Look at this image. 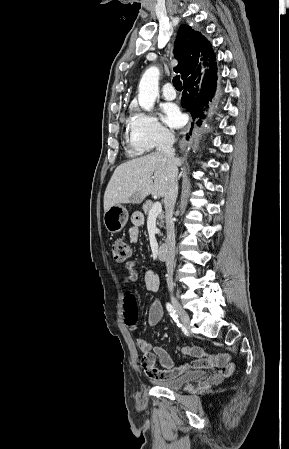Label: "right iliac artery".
Listing matches in <instances>:
<instances>
[{"mask_svg": "<svg viewBox=\"0 0 289 449\" xmlns=\"http://www.w3.org/2000/svg\"><path fill=\"white\" fill-rule=\"evenodd\" d=\"M166 308H167V311L169 312L170 316L177 323V325L179 327H181L182 325L179 322L178 315L176 314V311H175L174 307L170 303H166Z\"/></svg>", "mask_w": 289, "mask_h": 449, "instance_id": "82829eb1", "label": "right iliac artery"}]
</instances>
